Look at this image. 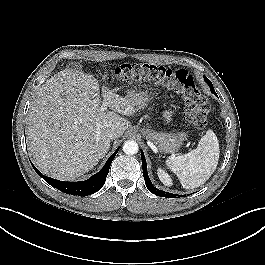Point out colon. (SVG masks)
<instances>
[{"label": "colon", "instance_id": "5ec220e1", "mask_svg": "<svg viewBox=\"0 0 265 265\" xmlns=\"http://www.w3.org/2000/svg\"><path fill=\"white\" fill-rule=\"evenodd\" d=\"M115 75L123 84L149 83L171 91L187 105V122L198 128L207 125L209 105L200 94L195 78L187 70L153 64H122L116 68Z\"/></svg>", "mask_w": 265, "mask_h": 265}]
</instances>
